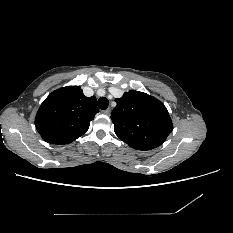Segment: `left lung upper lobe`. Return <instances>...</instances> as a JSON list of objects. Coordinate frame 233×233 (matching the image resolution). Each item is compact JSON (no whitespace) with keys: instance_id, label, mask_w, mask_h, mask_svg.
I'll return each mask as SVG.
<instances>
[{"instance_id":"1","label":"left lung upper lobe","mask_w":233,"mask_h":233,"mask_svg":"<svg viewBox=\"0 0 233 233\" xmlns=\"http://www.w3.org/2000/svg\"><path fill=\"white\" fill-rule=\"evenodd\" d=\"M111 113L116 135L131 148L142 151L164 143L173 130L172 120L158 99L135 90L115 99Z\"/></svg>"}]
</instances>
